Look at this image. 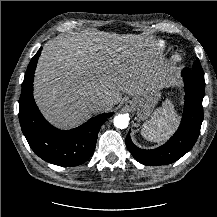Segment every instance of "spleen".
<instances>
[{
    "label": "spleen",
    "mask_w": 217,
    "mask_h": 217,
    "mask_svg": "<svg viewBox=\"0 0 217 217\" xmlns=\"http://www.w3.org/2000/svg\"><path fill=\"white\" fill-rule=\"evenodd\" d=\"M178 122L173 105L166 103L164 108L156 110L151 120L143 125L141 134L148 141L162 142L173 133Z\"/></svg>",
    "instance_id": "obj_1"
}]
</instances>
